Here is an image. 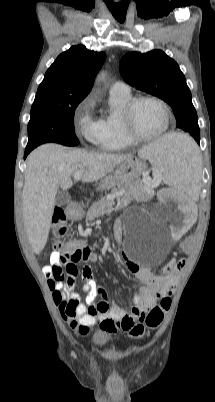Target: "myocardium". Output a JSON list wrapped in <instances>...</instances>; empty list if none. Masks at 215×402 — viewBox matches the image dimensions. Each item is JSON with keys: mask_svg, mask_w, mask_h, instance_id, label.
<instances>
[{"mask_svg": "<svg viewBox=\"0 0 215 402\" xmlns=\"http://www.w3.org/2000/svg\"><path fill=\"white\" fill-rule=\"evenodd\" d=\"M143 101H152L158 104L165 114V125L162 130L153 135H142L139 134L134 125V112L139 103ZM121 124L123 131L127 138L131 140L133 143L136 142H148L159 139L163 135H165L170 128L171 125V111L167 103L159 97L152 95H142L131 98L126 105L124 106L121 113Z\"/></svg>", "mask_w": 215, "mask_h": 402, "instance_id": "myocardium-1", "label": "myocardium"}]
</instances>
